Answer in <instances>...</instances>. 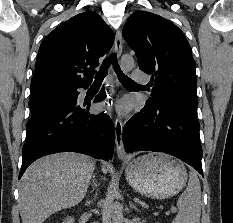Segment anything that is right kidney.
Wrapping results in <instances>:
<instances>
[{
	"mask_svg": "<svg viewBox=\"0 0 233 223\" xmlns=\"http://www.w3.org/2000/svg\"><path fill=\"white\" fill-rule=\"evenodd\" d=\"M74 221H75L74 217H71V215H68V217H66V219L62 221V223H74Z\"/></svg>",
	"mask_w": 233,
	"mask_h": 223,
	"instance_id": "ca27d5eb",
	"label": "right kidney"
}]
</instances>
